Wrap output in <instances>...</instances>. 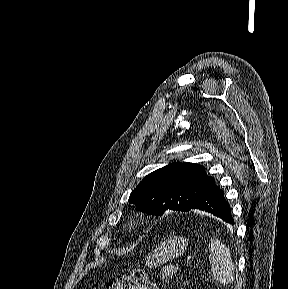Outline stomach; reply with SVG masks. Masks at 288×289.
Segmentation results:
<instances>
[{
	"label": "stomach",
	"instance_id": "1",
	"mask_svg": "<svg viewBox=\"0 0 288 289\" xmlns=\"http://www.w3.org/2000/svg\"><path fill=\"white\" fill-rule=\"evenodd\" d=\"M188 242L186 238L182 236H171L150 252L145 262L149 267H158L167 261L178 257L186 251Z\"/></svg>",
	"mask_w": 288,
	"mask_h": 289
}]
</instances>
